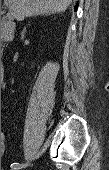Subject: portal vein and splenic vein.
I'll list each match as a JSON object with an SVG mask.
<instances>
[{"label":"portal vein and splenic vein","instance_id":"18ae733b","mask_svg":"<svg viewBox=\"0 0 109 170\" xmlns=\"http://www.w3.org/2000/svg\"><path fill=\"white\" fill-rule=\"evenodd\" d=\"M5 2H7V1L5 0ZM6 17H7L9 20H13V19H14V13L11 12V11H9V12L7 13Z\"/></svg>","mask_w":109,"mask_h":170}]
</instances>
